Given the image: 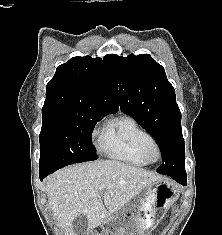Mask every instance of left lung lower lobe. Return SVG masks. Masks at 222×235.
<instances>
[{
	"label": "left lung lower lobe",
	"mask_w": 222,
	"mask_h": 235,
	"mask_svg": "<svg viewBox=\"0 0 222 235\" xmlns=\"http://www.w3.org/2000/svg\"><path fill=\"white\" fill-rule=\"evenodd\" d=\"M168 176H170L172 179H174L176 182L180 183L181 185L186 186L187 184L185 175H168Z\"/></svg>",
	"instance_id": "left-lung-lower-lobe-1"
}]
</instances>
